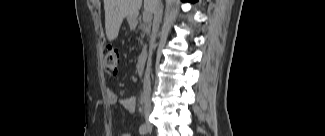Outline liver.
<instances>
[{
	"mask_svg": "<svg viewBox=\"0 0 325 136\" xmlns=\"http://www.w3.org/2000/svg\"><path fill=\"white\" fill-rule=\"evenodd\" d=\"M151 0H145V10L152 13ZM143 0H104L105 29L107 39L113 41L117 38L120 26L125 17L137 18Z\"/></svg>",
	"mask_w": 325,
	"mask_h": 136,
	"instance_id": "liver-1",
	"label": "liver"
}]
</instances>
